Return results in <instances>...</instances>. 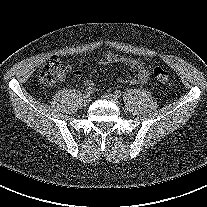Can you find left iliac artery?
I'll list each match as a JSON object with an SVG mask.
<instances>
[{
  "mask_svg": "<svg viewBox=\"0 0 207 207\" xmlns=\"http://www.w3.org/2000/svg\"><path fill=\"white\" fill-rule=\"evenodd\" d=\"M114 94L115 96L120 97L122 95V92L120 90H116Z\"/></svg>",
  "mask_w": 207,
  "mask_h": 207,
  "instance_id": "obj_1",
  "label": "left iliac artery"
}]
</instances>
